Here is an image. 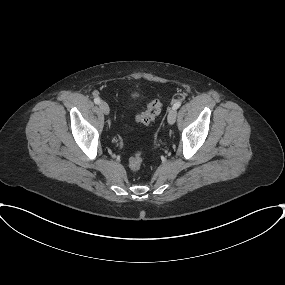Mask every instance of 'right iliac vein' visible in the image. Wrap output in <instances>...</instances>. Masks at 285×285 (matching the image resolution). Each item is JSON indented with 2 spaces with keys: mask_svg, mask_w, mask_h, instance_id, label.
<instances>
[{
  "mask_svg": "<svg viewBox=\"0 0 285 285\" xmlns=\"http://www.w3.org/2000/svg\"><path fill=\"white\" fill-rule=\"evenodd\" d=\"M99 108L105 115L109 114L110 109H109V106L106 102H104V101L100 102Z\"/></svg>",
  "mask_w": 285,
  "mask_h": 285,
  "instance_id": "1",
  "label": "right iliac vein"
}]
</instances>
